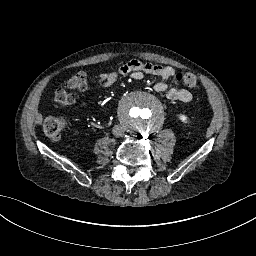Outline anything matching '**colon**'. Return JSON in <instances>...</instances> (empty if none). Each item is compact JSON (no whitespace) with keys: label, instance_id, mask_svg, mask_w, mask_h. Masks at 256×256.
<instances>
[{"label":"colon","instance_id":"colon-1","mask_svg":"<svg viewBox=\"0 0 256 256\" xmlns=\"http://www.w3.org/2000/svg\"><path fill=\"white\" fill-rule=\"evenodd\" d=\"M177 81L190 88L198 89L200 87V82L198 78L190 73H177ZM87 87V78L84 73H77L70 77L66 82L64 87L58 89L54 95V103L58 107H68L74 103V98L70 91L72 90H82ZM66 127V122L57 117L47 118L43 123V129L45 134L52 140H59L62 138Z\"/></svg>","mask_w":256,"mask_h":256}]
</instances>
